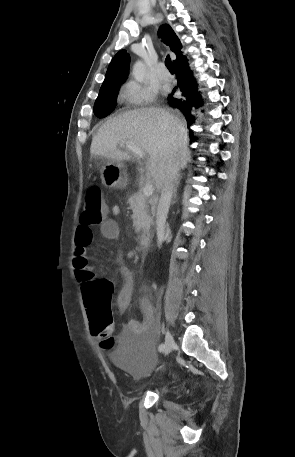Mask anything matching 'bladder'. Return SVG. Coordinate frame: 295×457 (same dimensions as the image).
<instances>
[{"label": "bladder", "mask_w": 295, "mask_h": 457, "mask_svg": "<svg viewBox=\"0 0 295 457\" xmlns=\"http://www.w3.org/2000/svg\"><path fill=\"white\" fill-rule=\"evenodd\" d=\"M121 346L128 347L127 351L123 349L120 351L122 354L125 352L121 366L133 380H138L144 371L151 373L152 365L159 364L158 353L155 349L158 346L157 338H122ZM156 369L153 375L159 377L161 372L158 367Z\"/></svg>", "instance_id": "obj_1"}]
</instances>
